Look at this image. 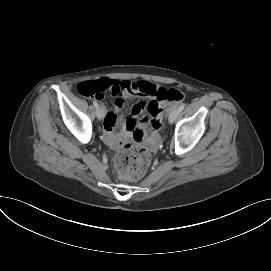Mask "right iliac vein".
I'll return each instance as SVG.
<instances>
[{
	"mask_svg": "<svg viewBox=\"0 0 271 271\" xmlns=\"http://www.w3.org/2000/svg\"><path fill=\"white\" fill-rule=\"evenodd\" d=\"M104 112H105L104 106L100 105L99 107H97V109H96V116H97V118L99 120L103 119Z\"/></svg>",
	"mask_w": 271,
	"mask_h": 271,
	"instance_id": "1",
	"label": "right iliac vein"
}]
</instances>
